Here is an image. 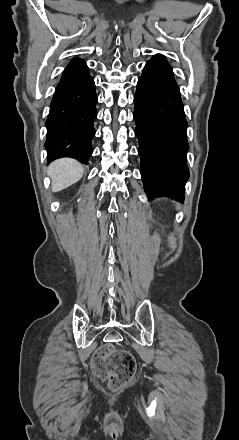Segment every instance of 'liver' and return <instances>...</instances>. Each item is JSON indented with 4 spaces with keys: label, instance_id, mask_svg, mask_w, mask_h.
<instances>
[{
    "label": "liver",
    "instance_id": "1",
    "mask_svg": "<svg viewBox=\"0 0 239 440\" xmlns=\"http://www.w3.org/2000/svg\"><path fill=\"white\" fill-rule=\"evenodd\" d=\"M47 174L52 180V192H61V190H65V188H69V186L81 180L83 166L77 160L62 158V160H56L48 166Z\"/></svg>",
    "mask_w": 239,
    "mask_h": 440
}]
</instances>
